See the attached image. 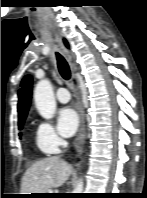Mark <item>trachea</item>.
Instances as JSON below:
<instances>
[{
    "label": "trachea",
    "instance_id": "trachea-1",
    "mask_svg": "<svg viewBox=\"0 0 147 198\" xmlns=\"http://www.w3.org/2000/svg\"><path fill=\"white\" fill-rule=\"evenodd\" d=\"M56 59H57V65H58V70H59L60 75L65 80H69L71 77V73H70V68H69L67 61L61 54L57 52H56Z\"/></svg>",
    "mask_w": 147,
    "mask_h": 198
}]
</instances>
